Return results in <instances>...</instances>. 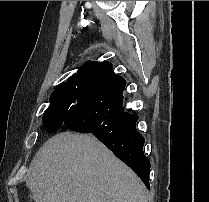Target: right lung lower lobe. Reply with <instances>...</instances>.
Segmentation results:
<instances>
[{
    "instance_id": "obj_1",
    "label": "right lung lower lobe",
    "mask_w": 209,
    "mask_h": 202,
    "mask_svg": "<svg viewBox=\"0 0 209 202\" xmlns=\"http://www.w3.org/2000/svg\"><path fill=\"white\" fill-rule=\"evenodd\" d=\"M125 85L126 81L113 71L92 79L80 92L77 112L63 127L94 135L150 189V162L143 152L144 137L135 125L139 117L122 107Z\"/></svg>"
}]
</instances>
